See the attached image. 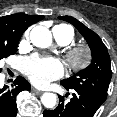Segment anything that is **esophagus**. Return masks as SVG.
I'll use <instances>...</instances> for the list:
<instances>
[{
  "label": "esophagus",
  "mask_w": 117,
  "mask_h": 117,
  "mask_svg": "<svg viewBox=\"0 0 117 117\" xmlns=\"http://www.w3.org/2000/svg\"><path fill=\"white\" fill-rule=\"evenodd\" d=\"M32 91L38 95L42 94L43 92L40 90H37L36 88H32Z\"/></svg>",
  "instance_id": "obj_1"
}]
</instances>
